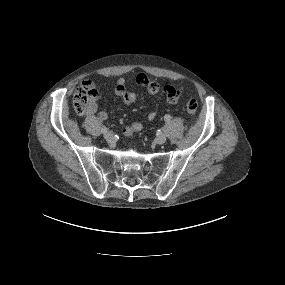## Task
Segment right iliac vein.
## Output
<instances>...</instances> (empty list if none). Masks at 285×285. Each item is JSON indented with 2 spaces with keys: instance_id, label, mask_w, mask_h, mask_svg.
I'll list each match as a JSON object with an SVG mask.
<instances>
[{
  "instance_id": "right-iliac-vein-1",
  "label": "right iliac vein",
  "mask_w": 285,
  "mask_h": 285,
  "mask_svg": "<svg viewBox=\"0 0 285 285\" xmlns=\"http://www.w3.org/2000/svg\"><path fill=\"white\" fill-rule=\"evenodd\" d=\"M104 138L107 141H112L114 139V134L112 132H106L104 133Z\"/></svg>"
}]
</instances>
